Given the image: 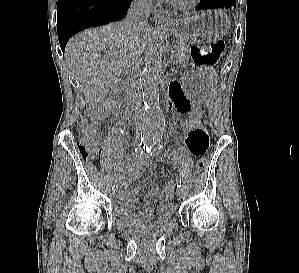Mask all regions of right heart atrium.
Returning <instances> with one entry per match:
<instances>
[{"label":"right heart atrium","instance_id":"obj_1","mask_svg":"<svg viewBox=\"0 0 299 273\" xmlns=\"http://www.w3.org/2000/svg\"><path fill=\"white\" fill-rule=\"evenodd\" d=\"M141 5L147 6L152 0H137Z\"/></svg>","mask_w":299,"mask_h":273}]
</instances>
